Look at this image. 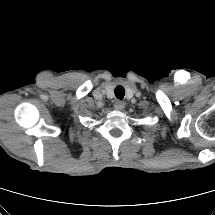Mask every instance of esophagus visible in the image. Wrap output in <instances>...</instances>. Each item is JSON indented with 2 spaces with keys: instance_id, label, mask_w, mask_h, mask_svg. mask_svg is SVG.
<instances>
[{
  "instance_id": "obj_1",
  "label": "esophagus",
  "mask_w": 215,
  "mask_h": 215,
  "mask_svg": "<svg viewBox=\"0 0 215 215\" xmlns=\"http://www.w3.org/2000/svg\"><path fill=\"white\" fill-rule=\"evenodd\" d=\"M124 107H125V102H123V101L117 100V101L114 103V108H115L116 110H122Z\"/></svg>"
}]
</instances>
